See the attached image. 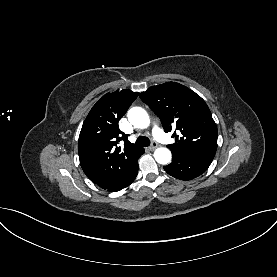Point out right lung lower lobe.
Segmentation results:
<instances>
[{"instance_id":"1","label":"right lung lower lobe","mask_w":277,"mask_h":277,"mask_svg":"<svg viewBox=\"0 0 277 277\" xmlns=\"http://www.w3.org/2000/svg\"><path fill=\"white\" fill-rule=\"evenodd\" d=\"M137 173L138 163L136 162L117 182H115L107 190L110 192H116L123 188H126L135 180Z\"/></svg>"}]
</instances>
